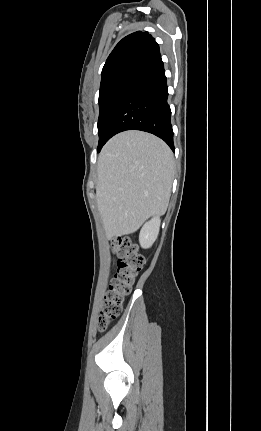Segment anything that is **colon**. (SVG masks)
Masks as SVG:
<instances>
[{
  "label": "colon",
  "mask_w": 261,
  "mask_h": 431,
  "mask_svg": "<svg viewBox=\"0 0 261 431\" xmlns=\"http://www.w3.org/2000/svg\"><path fill=\"white\" fill-rule=\"evenodd\" d=\"M111 246L118 258V266L98 317L100 331L120 314L124 297L130 293L134 279L145 263L138 246L129 237L114 239Z\"/></svg>",
  "instance_id": "5ec220e1"
}]
</instances>
